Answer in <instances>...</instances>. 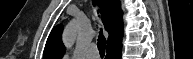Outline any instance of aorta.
<instances>
[{"label": "aorta", "mask_w": 193, "mask_h": 59, "mask_svg": "<svg viewBox=\"0 0 193 59\" xmlns=\"http://www.w3.org/2000/svg\"><path fill=\"white\" fill-rule=\"evenodd\" d=\"M77 30H78V24L75 20L70 22V24L66 27V30L64 32V41H65L67 46L72 45V43L75 39Z\"/></svg>", "instance_id": "obj_1"}]
</instances>
